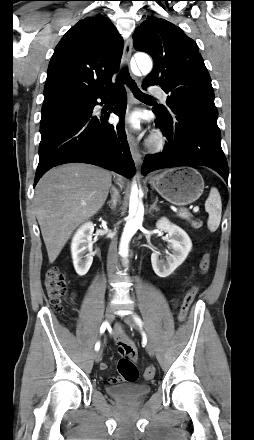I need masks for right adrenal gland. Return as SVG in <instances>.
Wrapping results in <instances>:
<instances>
[{
	"label": "right adrenal gland",
	"mask_w": 254,
	"mask_h": 440,
	"mask_svg": "<svg viewBox=\"0 0 254 440\" xmlns=\"http://www.w3.org/2000/svg\"><path fill=\"white\" fill-rule=\"evenodd\" d=\"M117 201H118V196L116 192H114V194L112 195V200L107 202V205L110 207L111 210H115Z\"/></svg>",
	"instance_id": "1"
}]
</instances>
